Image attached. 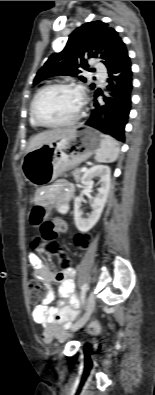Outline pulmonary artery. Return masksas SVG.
<instances>
[{"mask_svg": "<svg viewBox=\"0 0 155 395\" xmlns=\"http://www.w3.org/2000/svg\"><path fill=\"white\" fill-rule=\"evenodd\" d=\"M96 69H97V75H98L99 79L101 81H104V79L106 77V72H105L104 68L101 65L96 64Z\"/></svg>", "mask_w": 155, "mask_h": 395, "instance_id": "e3ab8cb5", "label": "pulmonary artery"}]
</instances>
